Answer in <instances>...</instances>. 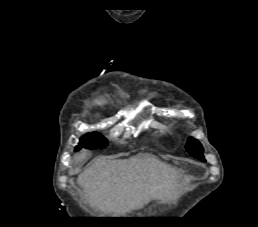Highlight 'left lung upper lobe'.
<instances>
[{"instance_id": "5c2ea615", "label": "left lung upper lobe", "mask_w": 258, "mask_h": 227, "mask_svg": "<svg viewBox=\"0 0 258 227\" xmlns=\"http://www.w3.org/2000/svg\"><path fill=\"white\" fill-rule=\"evenodd\" d=\"M186 149L195 158L205 161V159L202 155L203 147L198 140L190 137L188 139V143L186 144Z\"/></svg>"}]
</instances>
